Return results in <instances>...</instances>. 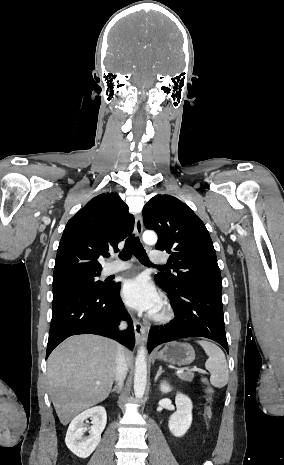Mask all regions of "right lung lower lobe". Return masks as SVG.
<instances>
[{
    "label": "right lung lower lobe",
    "mask_w": 284,
    "mask_h": 465,
    "mask_svg": "<svg viewBox=\"0 0 284 465\" xmlns=\"http://www.w3.org/2000/svg\"><path fill=\"white\" fill-rule=\"evenodd\" d=\"M120 287L113 283L105 290L72 291L53 299L46 359L58 344L76 334L102 335L132 349L133 323L119 296ZM121 320H127L129 326L119 332Z\"/></svg>",
    "instance_id": "1"
}]
</instances>
